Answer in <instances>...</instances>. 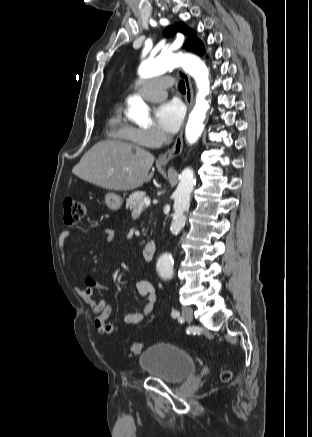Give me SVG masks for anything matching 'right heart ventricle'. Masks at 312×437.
<instances>
[{"label":"right heart ventricle","instance_id":"e07e8e85","mask_svg":"<svg viewBox=\"0 0 312 437\" xmlns=\"http://www.w3.org/2000/svg\"><path fill=\"white\" fill-rule=\"evenodd\" d=\"M133 129L123 118L120 109H116L108 120V131L111 138L119 142L139 145Z\"/></svg>","mask_w":312,"mask_h":437}]
</instances>
